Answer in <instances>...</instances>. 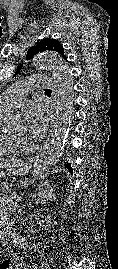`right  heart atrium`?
Here are the masks:
<instances>
[{"label":"right heart atrium","mask_w":118,"mask_h":269,"mask_svg":"<svg viewBox=\"0 0 118 269\" xmlns=\"http://www.w3.org/2000/svg\"><path fill=\"white\" fill-rule=\"evenodd\" d=\"M18 142H24L23 139L16 138Z\"/></svg>","instance_id":"right-heart-atrium-1"}]
</instances>
